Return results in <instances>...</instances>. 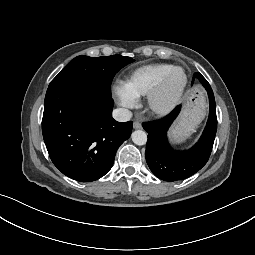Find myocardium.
Masks as SVG:
<instances>
[{
	"mask_svg": "<svg viewBox=\"0 0 255 255\" xmlns=\"http://www.w3.org/2000/svg\"><path fill=\"white\" fill-rule=\"evenodd\" d=\"M183 74L181 85L173 92H168L169 83L175 73ZM188 76L182 67H175L158 83V85L148 94V106L157 115L170 113L179 103L186 87Z\"/></svg>",
	"mask_w": 255,
	"mask_h": 255,
	"instance_id": "f54148a6",
	"label": "myocardium"
}]
</instances>
